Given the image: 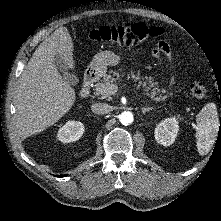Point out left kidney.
Returning <instances> with one entry per match:
<instances>
[{"mask_svg": "<svg viewBox=\"0 0 221 221\" xmlns=\"http://www.w3.org/2000/svg\"><path fill=\"white\" fill-rule=\"evenodd\" d=\"M178 130L179 125L177 118H167L156 126L155 139L157 143L163 146H169L175 141Z\"/></svg>", "mask_w": 221, "mask_h": 221, "instance_id": "obj_1", "label": "left kidney"}]
</instances>
